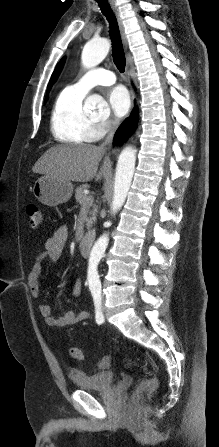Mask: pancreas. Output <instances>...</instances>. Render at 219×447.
I'll return each mask as SVG.
<instances>
[{"instance_id": "obj_1", "label": "pancreas", "mask_w": 219, "mask_h": 447, "mask_svg": "<svg viewBox=\"0 0 219 447\" xmlns=\"http://www.w3.org/2000/svg\"><path fill=\"white\" fill-rule=\"evenodd\" d=\"M87 188H89V185H87V184H83V185L77 187L75 190V192H76L75 199H76V202L81 205V207L89 210V208L93 205V198H92V196H88L84 193V189H87ZM87 198H91V200L89 202H86ZM91 214H92V216L86 220L87 229H89L92 226L93 221H95V219H96V211L93 210L91 212Z\"/></svg>"}]
</instances>
